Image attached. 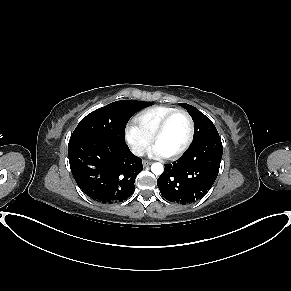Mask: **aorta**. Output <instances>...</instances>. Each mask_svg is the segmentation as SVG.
Returning a JSON list of instances; mask_svg holds the SVG:
<instances>
[{
    "mask_svg": "<svg viewBox=\"0 0 291 291\" xmlns=\"http://www.w3.org/2000/svg\"><path fill=\"white\" fill-rule=\"evenodd\" d=\"M163 165L161 163H154L151 165V171L155 175H161L163 173Z\"/></svg>",
    "mask_w": 291,
    "mask_h": 291,
    "instance_id": "762f6f07",
    "label": "aorta"
}]
</instances>
